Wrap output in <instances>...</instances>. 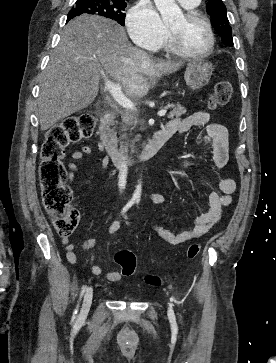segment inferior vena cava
<instances>
[{
  "label": "inferior vena cava",
  "instance_id": "1",
  "mask_svg": "<svg viewBox=\"0 0 276 363\" xmlns=\"http://www.w3.org/2000/svg\"><path fill=\"white\" fill-rule=\"evenodd\" d=\"M118 186L120 190L125 189L126 186V178H127V166L125 162L121 163L119 176H118Z\"/></svg>",
  "mask_w": 276,
  "mask_h": 363
}]
</instances>
